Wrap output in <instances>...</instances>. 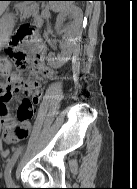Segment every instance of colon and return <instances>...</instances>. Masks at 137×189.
I'll use <instances>...</instances> for the list:
<instances>
[{"label":"colon","instance_id":"5ec220e1","mask_svg":"<svg viewBox=\"0 0 137 189\" xmlns=\"http://www.w3.org/2000/svg\"><path fill=\"white\" fill-rule=\"evenodd\" d=\"M29 44L42 48L40 38L35 31L29 26H20L14 32L6 47L7 56H0V85L8 82L14 64H17L21 68L25 67V56L22 48ZM33 112V106L28 100H24L19 105L18 114L20 118L26 114L30 116Z\"/></svg>","mask_w":137,"mask_h":189}]
</instances>
